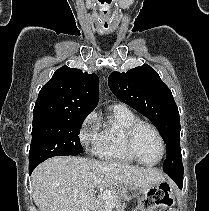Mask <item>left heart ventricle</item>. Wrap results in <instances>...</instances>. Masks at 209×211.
I'll return each instance as SVG.
<instances>
[{
    "label": "left heart ventricle",
    "instance_id": "1",
    "mask_svg": "<svg viewBox=\"0 0 209 211\" xmlns=\"http://www.w3.org/2000/svg\"><path fill=\"white\" fill-rule=\"evenodd\" d=\"M134 146L138 156L147 163L156 162L160 157V142L155 133L148 127H142L138 131Z\"/></svg>",
    "mask_w": 209,
    "mask_h": 211
}]
</instances>
